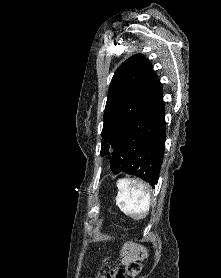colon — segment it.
Here are the masks:
<instances>
[{
  "label": "colon",
  "mask_w": 221,
  "mask_h": 278,
  "mask_svg": "<svg viewBox=\"0 0 221 278\" xmlns=\"http://www.w3.org/2000/svg\"><path fill=\"white\" fill-rule=\"evenodd\" d=\"M144 258L141 257L131 261L126 267L116 273V278H132L144 268Z\"/></svg>",
  "instance_id": "colon-1"
}]
</instances>
